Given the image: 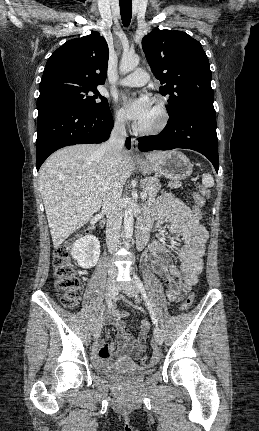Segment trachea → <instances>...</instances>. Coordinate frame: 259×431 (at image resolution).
<instances>
[{
  "instance_id": "obj_1",
  "label": "trachea",
  "mask_w": 259,
  "mask_h": 431,
  "mask_svg": "<svg viewBox=\"0 0 259 431\" xmlns=\"http://www.w3.org/2000/svg\"><path fill=\"white\" fill-rule=\"evenodd\" d=\"M120 14L122 23L125 27H128L132 18V1L131 0H120Z\"/></svg>"
}]
</instances>
